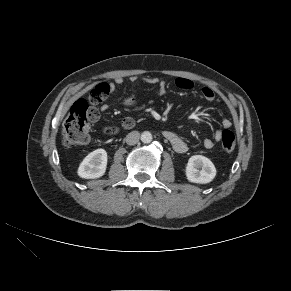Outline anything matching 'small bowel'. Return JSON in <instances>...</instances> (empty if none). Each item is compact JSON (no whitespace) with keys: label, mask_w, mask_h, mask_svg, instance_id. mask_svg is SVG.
I'll return each instance as SVG.
<instances>
[{"label":"small bowel","mask_w":291,"mask_h":291,"mask_svg":"<svg viewBox=\"0 0 291 291\" xmlns=\"http://www.w3.org/2000/svg\"><path fill=\"white\" fill-rule=\"evenodd\" d=\"M145 82L149 83V84H158L159 85V94L163 95L166 91V84L163 81H160L158 78L155 77H148V78H144L143 79ZM130 81L132 83H135L137 81H139V77L137 76H132L130 78ZM124 82L123 77L121 76H117L114 78L113 82L111 83H102L96 87L99 86H103L106 88L107 92L105 94V97H107L108 95H110L118 85H121ZM175 85L182 89V90H191L194 86L193 82L190 79L187 78H177L175 80ZM201 97L207 101H213L215 98V94L214 91L209 88V87H203L200 91ZM104 97V99H105ZM104 99L100 102V105L98 107L93 106V121H96L99 118V111H106L109 108V105L104 101ZM124 104L126 106H133L136 104V100L133 97H128L124 100ZM223 127L224 128H230L231 127V121L230 120H224L223 121ZM221 131H217L215 133L214 136V140L215 141H219L221 139ZM165 137L169 140V142L171 143L172 147L174 148V150L178 153H184L187 151L188 146L186 144V142L174 131L171 130H167L164 132ZM214 140L212 139H205L203 142V145L206 149H211L214 146Z\"/></svg>","instance_id":"small-bowel-1"}]
</instances>
